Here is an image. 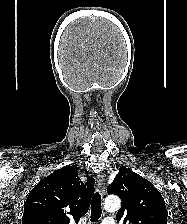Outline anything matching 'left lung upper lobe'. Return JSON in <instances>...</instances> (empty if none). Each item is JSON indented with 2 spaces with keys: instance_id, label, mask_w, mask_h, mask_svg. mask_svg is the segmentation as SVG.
I'll list each match as a JSON object with an SVG mask.
<instances>
[{
  "instance_id": "1",
  "label": "left lung upper lobe",
  "mask_w": 187,
  "mask_h": 224,
  "mask_svg": "<svg viewBox=\"0 0 187 224\" xmlns=\"http://www.w3.org/2000/svg\"><path fill=\"white\" fill-rule=\"evenodd\" d=\"M108 194H117L122 206L116 217L124 224H166L167 210L160 192L148 180L126 167L107 188Z\"/></svg>"
}]
</instances>
